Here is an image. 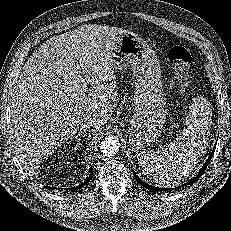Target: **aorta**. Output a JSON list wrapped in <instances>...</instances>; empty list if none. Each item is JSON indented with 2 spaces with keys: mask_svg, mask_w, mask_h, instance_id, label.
<instances>
[{
  "mask_svg": "<svg viewBox=\"0 0 231 231\" xmlns=\"http://www.w3.org/2000/svg\"><path fill=\"white\" fill-rule=\"evenodd\" d=\"M119 147V139L114 135L106 136L100 144V150L105 156H113L118 151Z\"/></svg>",
  "mask_w": 231,
  "mask_h": 231,
  "instance_id": "aorta-1",
  "label": "aorta"
}]
</instances>
